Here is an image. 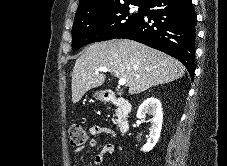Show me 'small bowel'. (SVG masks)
Masks as SVG:
<instances>
[{"label":"small bowel","instance_id":"obj_1","mask_svg":"<svg viewBox=\"0 0 227 166\" xmlns=\"http://www.w3.org/2000/svg\"><path fill=\"white\" fill-rule=\"evenodd\" d=\"M89 133L92 136H97L103 133H110L109 129H107L106 127H102V126H98V125H93L89 128ZM97 144L96 139L92 138L90 140V143L87 145L88 148H93L95 147ZM83 150V147H79L75 150V154L79 155L81 153V151ZM117 153V148L114 144H106L100 153H98L97 155H95L93 157V160L91 162L92 166H97L100 165L101 162L103 161V158L105 155H115Z\"/></svg>","mask_w":227,"mask_h":166}]
</instances>
